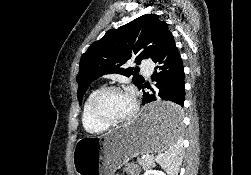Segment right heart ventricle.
<instances>
[{"mask_svg":"<svg viewBox=\"0 0 251 175\" xmlns=\"http://www.w3.org/2000/svg\"><path fill=\"white\" fill-rule=\"evenodd\" d=\"M101 87L92 90L87 96L82 108V125L89 134L99 135L105 132L108 127L96 121L91 114V103Z\"/></svg>","mask_w":251,"mask_h":175,"instance_id":"obj_1","label":"right heart ventricle"}]
</instances>
